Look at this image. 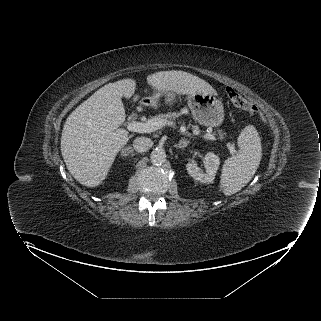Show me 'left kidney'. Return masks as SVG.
I'll return each instance as SVG.
<instances>
[{
    "label": "left kidney",
    "instance_id": "left-kidney-1",
    "mask_svg": "<svg viewBox=\"0 0 321 321\" xmlns=\"http://www.w3.org/2000/svg\"><path fill=\"white\" fill-rule=\"evenodd\" d=\"M219 164L220 158L216 154L209 152L205 155L204 161L206 173L198 167L195 161L187 163L186 169L188 174L195 180H198L201 183H211L215 179Z\"/></svg>",
    "mask_w": 321,
    "mask_h": 321
}]
</instances>
